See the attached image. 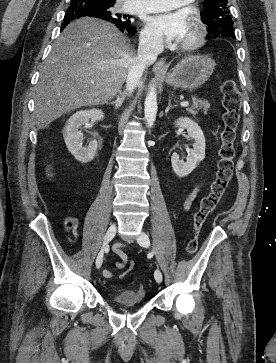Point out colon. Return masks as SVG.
I'll return each instance as SVG.
<instances>
[{"label": "colon", "instance_id": "1", "mask_svg": "<svg viewBox=\"0 0 276 363\" xmlns=\"http://www.w3.org/2000/svg\"><path fill=\"white\" fill-rule=\"evenodd\" d=\"M225 109L223 115L224 127L220 134L221 146L219 150L220 159L216 177L210 186V191L205 195L193 215L192 233L186 246V253L193 255L198 249L199 234L208 215L215 209L223 198L228 184L233 175L235 158L236 130L239 123V109L241 105V94L233 80H225L220 86ZM74 221L67 218L65 226L71 229ZM134 262H129V269L133 268Z\"/></svg>", "mask_w": 276, "mask_h": 363}]
</instances>
